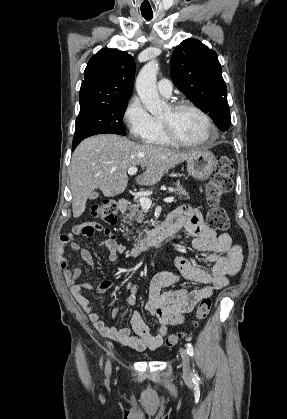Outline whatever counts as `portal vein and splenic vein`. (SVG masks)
Returning a JSON list of instances; mask_svg holds the SVG:
<instances>
[{
    "mask_svg": "<svg viewBox=\"0 0 287 419\" xmlns=\"http://www.w3.org/2000/svg\"><path fill=\"white\" fill-rule=\"evenodd\" d=\"M137 171H138V169H137V167H130L129 169H128V174L130 175V176H133V175H135L136 173H137ZM174 200V197H167V198H165L164 199V201L165 202H172ZM139 203H140V205H141V207L143 208V209H145V210H148V209H150V207H151V204H152V200L151 199H149L148 197H146V196H142V197H140L139 198Z\"/></svg>",
    "mask_w": 287,
    "mask_h": 419,
    "instance_id": "18ae733b",
    "label": "portal vein and splenic vein"
}]
</instances>
